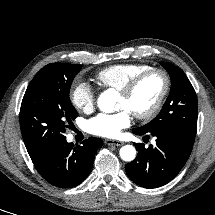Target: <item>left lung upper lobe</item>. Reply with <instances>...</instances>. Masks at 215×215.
Instances as JSON below:
<instances>
[{
	"instance_id": "5c2ea615",
	"label": "left lung upper lobe",
	"mask_w": 215,
	"mask_h": 215,
	"mask_svg": "<svg viewBox=\"0 0 215 215\" xmlns=\"http://www.w3.org/2000/svg\"><path fill=\"white\" fill-rule=\"evenodd\" d=\"M171 78V90L161 112L148 124L135 128L143 131L177 128L196 135L197 96L185 73L169 63H161Z\"/></svg>"
}]
</instances>
